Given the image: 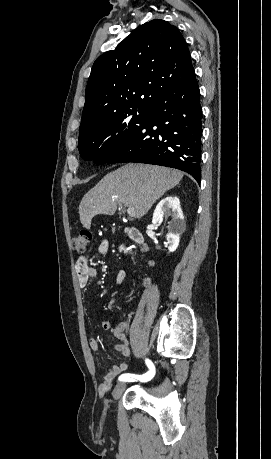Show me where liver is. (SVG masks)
<instances>
[{
	"label": "liver",
	"mask_w": 271,
	"mask_h": 459,
	"mask_svg": "<svg viewBox=\"0 0 271 459\" xmlns=\"http://www.w3.org/2000/svg\"><path fill=\"white\" fill-rule=\"evenodd\" d=\"M182 178L183 172L172 168L126 164L104 176L85 194L79 206L80 222L83 228L90 229L91 220L97 214L113 216L117 202L125 208H135L136 218H142L156 200L177 186Z\"/></svg>",
	"instance_id": "6515ba94"
}]
</instances>
